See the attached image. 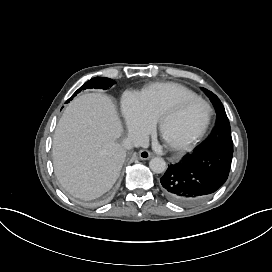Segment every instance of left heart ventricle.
<instances>
[{"label":"left heart ventricle","instance_id":"b2bd125f","mask_svg":"<svg viewBox=\"0 0 272 272\" xmlns=\"http://www.w3.org/2000/svg\"><path fill=\"white\" fill-rule=\"evenodd\" d=\"M203 118V107L199 104H192L181 113L168 115L167 128L172 135L185 140L189 134L200 126Z\"/></svg>","mask_w":272,"mask_h":272}]
</instances>
